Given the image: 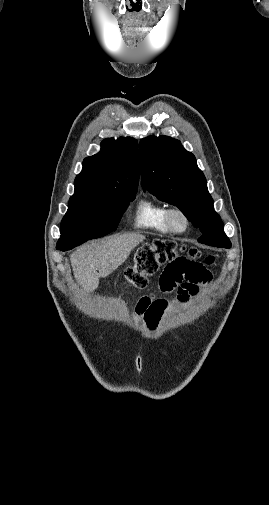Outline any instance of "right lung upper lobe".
<instances>
[{"mask_svg": "<svg viewBox=\"0 0 269 505\" xmlns=\"http://www.w3.org/2000/svg\"><path fill=\"white\" fill-rule=\"evenodd\" d=\"M138 182L137 140L108 138L99 153L84 159L74 181L75 194H136Z\"/></svg>", "mask_w": 269, "mask_h": 505, "instance_id": "1", "label": "right lung upper lobe"}]
</instances>
